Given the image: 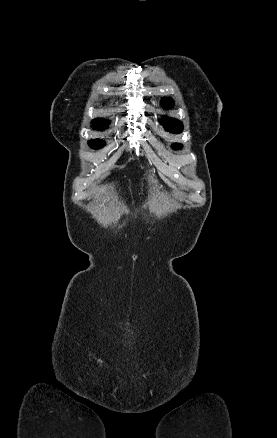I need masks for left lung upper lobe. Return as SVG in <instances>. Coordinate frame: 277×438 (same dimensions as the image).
Segmentation results:
<instances>
[{"label":"left lung upper lobe","instance_id":"left-lung-upper-lobe-1","mask_svg":"<svg viewBox=\"0 0 277 438\" xmlns=\"http://www.w3.org/2000/svg\"><path fill=\"white\" fill-rule=\"evenodd\" d=\"M161 102L165 108H171L173 106V101L171 99L163 98ZM161 123L164 125L165 130L171 133H180L183 129L182 123L176 119H162ZM179 147V144L173 145V149H178Z\"/></svg>","mask_w":277,"mask_h":438}]
</instances>
